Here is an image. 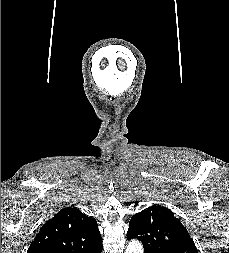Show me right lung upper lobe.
Listing matches in <instances>:
<instances>
[{
  "label": "right lung upper lobe",
  "instance_id": "obj_1",
  "mask_svg": "<svg viewBox=\"0 0 229 253\" xmlns=\"http://www.w3.org/2000/svg\"><path fill=\"white\" fill-rule=\"evenodd\" d=\"M101 246L96 220L67 207L42 226L27 253H93Z\"/></svg>",
  "mask_w": 229,
  "mask_h": 253
}]
</instances>
